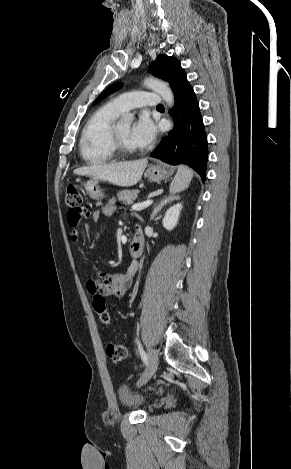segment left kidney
<instances>
[{
    "label": "left kidney",
    "mask_w": 291,
    "mask_h": 469,
    "mask_svg": "<svg viewBox=\"0 0 291 469\" xmlns=\"http://www.w3.org/2000/svg\"><path fill=\"white\" fill-rule=\"evenodd\" d=\"M182 204H176L170 207L163 218V227L167 230H172L178 223Z\"/></svg>",
    "instance_id": "5707ae66"
}]
</instances>
